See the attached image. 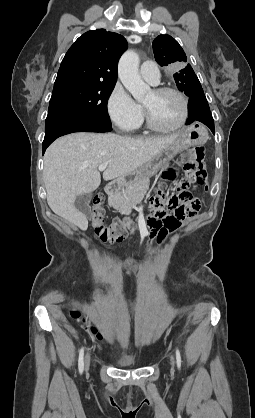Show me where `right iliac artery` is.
<instances>
[{"instance_id": "right-iliac-artery-1", "label": "right iliac artery", "mask_w": 255, "mask_h": 418, "mask_svg": "<svg viewBox=\"0 0 255 418\" xmlns=\"http://www.w3.org/2000/svg\"><path fill=\"white\" fill-rule=\"evenodd\" d=\"M78 368L79 372L82 373L84 370V348H81L79 352Z\"/></svg>"}]
</instances>
